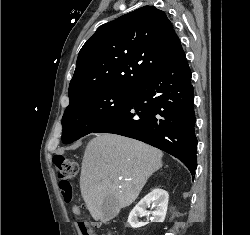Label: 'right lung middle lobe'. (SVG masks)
<instances>
[{"label":"right lung middle lobe","instance_id":"dd1d6c3e","mask_svg":"<svg viewBox=\"0 0 250 235\" xmlns=\"http://www.w3.org/2000/svg\"><path fill=\"white\" fill-rule=\"evenodd\" d=\"M133 93L134 89H102L70 101L62 118L63 143H72L93 132L118 112Z\"/></svg>","mask_w":250,"mask_h":235}]
</instances>
